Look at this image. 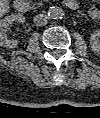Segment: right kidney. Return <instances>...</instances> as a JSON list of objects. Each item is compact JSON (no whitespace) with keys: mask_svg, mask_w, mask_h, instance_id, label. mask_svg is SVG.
Returning a JSON list of instances; mask_svg holds the SVG:
<instances>
[{"mask_svg":"<svg viewBox=\"0 0 100 118\" xmlns=\"http://www.w3.org/2000/svg\"><path fill=\"white\" fill-rule=\"evenodd\" d=\"M24 22V18L21 15H9L4 19L0 20V45L5 48H15L18 45L17 40H10L7 37V29L10 24L13 22Z\"/></svg>","mask_w":100,"mask_h":118,"instance_id":"ca27d5eb","label":"right kidney"}]
</instances>
